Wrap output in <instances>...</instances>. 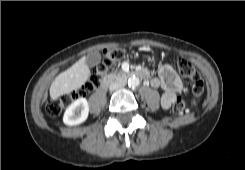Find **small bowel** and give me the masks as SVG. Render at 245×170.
Listing matches in <instances>:
<instances>
[{"label":"small bowel","mask_w":245,"mask_h":170,"mask_svg":"<svg viewBox=\"0 0 245 170\" xmlns=\"http://www.w3.org/2000/svg\"><path fill=\"white\" fill-rule=\"evenodd\" d=\"M150 84L154 88L161 87L164 90L161 103L166 109L172 105L181 87L175 70L169 65H162L159 68V77L153 78Z\"/></svg>","instance_id":"1"}]
</instances>
